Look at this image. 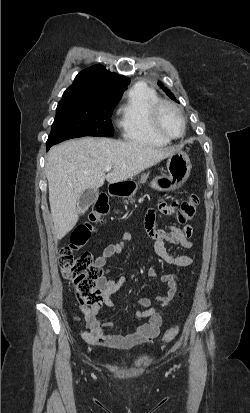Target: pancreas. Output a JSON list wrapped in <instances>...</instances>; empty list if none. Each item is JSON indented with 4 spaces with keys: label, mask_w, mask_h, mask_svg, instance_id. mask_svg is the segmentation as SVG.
I'll return each instance as SVG.
<instances>
[{
    "label": "pancreas",
    "mask_w": 250,
    "mask_h": 413,
    "mask_svg": "<svg viewBox=\"0 0 250 413\" xmlns=\"http://www.w3.org/2000/svg\"><path fill=\"white\" fill-rule=\"evenodd\" d=\"M147 178H148V174H141L139 183H145Z\"/></svg>",
    "instance_id": "cf45deb5"
}]
</instances>
